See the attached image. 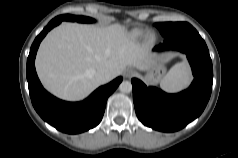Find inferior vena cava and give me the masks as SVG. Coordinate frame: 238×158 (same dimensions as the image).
I'll return each instance as SVG.
<instances>
[{"mask_svg": "<svg viewBox=\"0 0 238 158\" xmlns=\"http://www.w3.org/2000/svg\"><path fill=\"white\" fill-rule=\"evenodd\" d=\"M95 79L99 84L107 83L110 80V72L106 68L98 69L95 72Z\"/></svg>", "mask_w": 238, "mask_h": 158, "instance_id": "1", "label": "inferior vena cava"}]
</instances>
